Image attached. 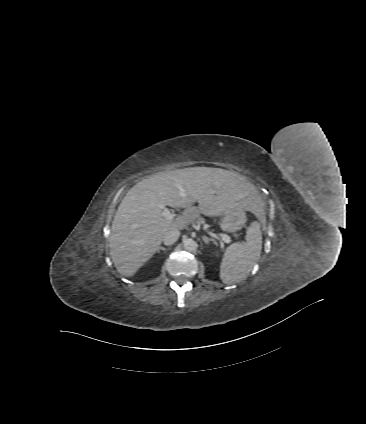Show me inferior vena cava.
<instances>
[{
  "mask_svg": "<svg viewBox=\"0 0 366 424\" xmlns=\"http://www.w3.org/2000/svg\"><path fill=\"white\" fill-rule=\"evenodd\" d=\"M179 236L180 231L178 229L170 230L165 234L163 242L165 245L170 246L178 240Z\"/></svg>",
  "mask_w": 366,
  "mask_h": 424,
  "instance_id": "inferior-vena-cava-1",
  "label": "inferior vena cava"
}]
</instances>
